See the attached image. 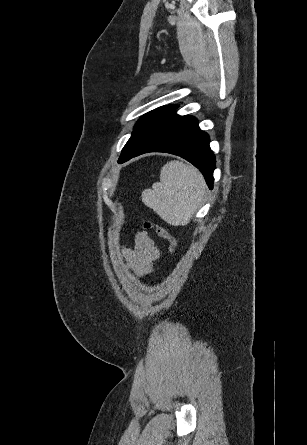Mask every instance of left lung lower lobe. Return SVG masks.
Returning a JSON list of instances; mask_svg holds the SVG:
<instances>
[{
	"mask_svg": "<svg viewBox=\"0 0 307 445\" xmlns=\"http://www.w3.org/2000/svg\"><path fill=\"white\" fill-rule=\"evenodd\" d=\"M147 152H165L181 156L196 166L213 188L215 157L209 147V136L198 127L192 116H182L147 139L129 159Z\"/></svg>",
	"mask_w": 307,
	"mask_h": 445,
	"instance_id": "obj_1",
	"label": "left lung lower lobe"
}]
</instances>
